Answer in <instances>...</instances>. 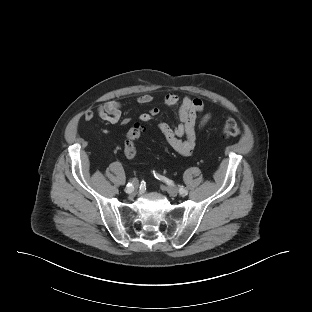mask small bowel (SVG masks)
<instances>
[{
	"label": "small bowel",
	"mask_w": 312,
	"mask_h": 312,
	"mask_svg": "<svg viewBox=\"0 0 312 312\" xmlns=\"http://www.w3.org/2000/svg\"><path fill=\"white\" fill-rule=\"evenodd\" d=\"M139 105H149L153 101V96L143 94L136 99ZM163 102L166 107L176 109L178 115V124L171 127L167 123L158 125L159 131L165 138L168 145L178 154L189 156L196 147L198 130L202 128L210 119L209 114H203L204 102L200 98L184 97L182 100L174 93H167ZM123 104L118 100H109L100 104L97 109L99 118L109 124H118L126 126L130 123L129 117L122 118ZM95 113L92 110H86L83 118L86 121L93 119ZM160 115L158 107H149L140 114L139 120L149 122ZM184 138V139H183Z\"/></svg>",
	"instance_id": "obj_1"
}]
</instances>
